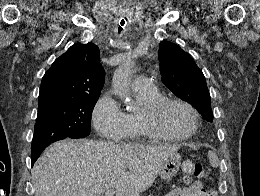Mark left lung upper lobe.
<instances>
[{
    "label": "left lung upper lobe",
    "instance_id": "left-lung-upper-lobe-1",
    "mask_svg": "<svg viewBox=\"0 0 260 196\" xmlns=\"http://www.w3.org/2000/svg\"><path fill=\"white\" fill-rule=\"evenodd\" d=\"M160 72L164 85L177 97L190 103L209 122L213 121L210 94L202 71L178 45L160 43Z\"/></svg>",
    "mask_w": 260,
    "mask_h": 196
}]
</instances>
